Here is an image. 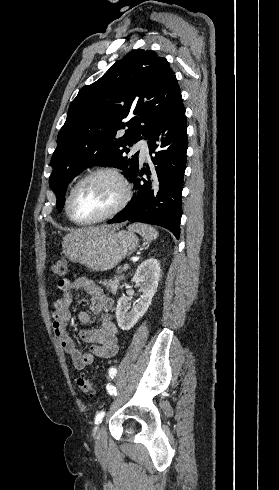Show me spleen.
Masks as SVG:
<instances>
[{
	"label": "spleen",
	"mask_w": 279,
	"mask_h": 490,
	"mask_svg": "<svg viewBox=\"0 0 279 490\" xmlns=\"http://www.w3.org/2000/svg\"><path fill=\"white\" fill-rule=\"evenodd\" d=\"M128 230H133V232H137L140 234L144 240H155L157 238V232L148 224H131L128 226Z\"/></svg>",
	"instance_id": "spleen-1"
}]
</instances>
